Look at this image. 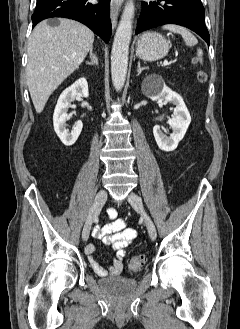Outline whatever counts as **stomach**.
<instances>
[{"instance_id": "1", "label": "stomach", "mask_w": 240, "mask_h": 329, "mask_svg": "<svg viewBox=\"0 0 240 329\" xmlns=\"http://www.w3.org/2000/svg\"><path fill=\"white\" fill-rule=\"evenodd\" d=\"M169 42L159 33H143L136 45V55L144 61H156L167 55Z\"/></svg>"}]
</instances>
